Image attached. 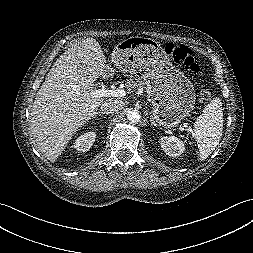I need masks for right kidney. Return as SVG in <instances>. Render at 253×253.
Here are the masks:
<instances>
[{"instance_id": "obj_1", "label": "right kidney", "mask_w": 253, "mask_h": 253, "mask_svg": "<svg viewBox=\"0 0 253 253\" xmlns=\"http://www.w3.org/2000/svg\"><path fill=\"white\" fill-rule=\"evenodd\" d=\"M95 138L94 132H86L75 140L73 147L80 152L88 151L95 142Z\"/></svg>"}]
</instances>
